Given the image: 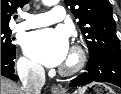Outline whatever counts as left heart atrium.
Listing matches in <instances>:
<instances>
[{"instance_id": "39dd6f15", "label": "left heart atrium", "mask_w": 121, "mask_h": 94, "mask_svg": "<svg viewBox=\"0 0 121 94\" xmlns=\"http://www.w3.org/2000/svg\"><path fill=\"white\" fill-rule=\"evenodd\" d=\"M24 48L29 57L47 67L62 65L69 54L67 35L52 28L30 33Z\"/></svg>"}]
</instances>
